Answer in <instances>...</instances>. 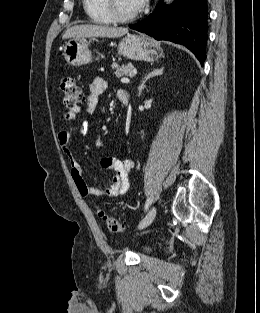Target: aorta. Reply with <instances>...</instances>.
Listing matches in <instances>:
<instances>
[{"label":"aorta","mask_w":260,"mask_h":313,"mask_svg":"<svg viewBox=\"0 0 260 313\" xmlns=\"http://www.w3.org/2000/svg\"><path fill=\"white\" fill-rule=\"evenodd\" d=\"M166 1L169 2V3L172 2V0H166Z\"/></svg>","instance_id":"aorta-1"}]
</instances>
